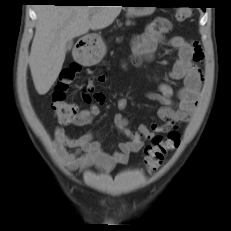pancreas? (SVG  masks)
I'll use <instances>...</instances> for the list:
<instances>
[{"mask_svg":"<svg viewBox=\"0 0 231 231\" xmlns=\"http://www.w3.org/2000/svg\"><path fill=\"white\" fill-rule=\"evenodd\" d=\"M126 25H127V26L131 25V21L128 20V21L126 22ZM120 26H121V25H120Z\"/></svg>","mask_w":231,"mask_h":231,"instance_id":"pancreas-1","label":"pancreas"}]
</instances>
